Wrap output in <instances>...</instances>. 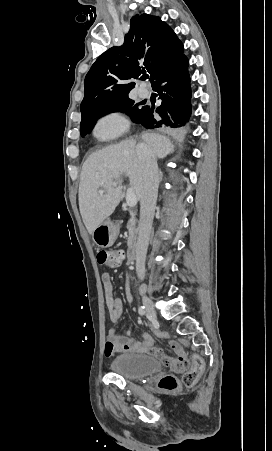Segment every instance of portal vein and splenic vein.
I'll return each instance as SVG.
<instances>
[{
	"label": "portal vein and splenic vein",
	"instance_id": "1",
	"mask_svg": "<svg viewBox=\"0 0 272 451\" xmlns=\"http://www.w3.org/2000/svg\"><path fill=\"white\" fill-rule=\"evenodd\" d=\"M114 186H116V182H114ZM99 194H104V190H99ZM126 204L129 208H134L137 204L136 196L132 188H128L126 192Z\"/></svg>",
	"mask_w": 272,
	"mask_h": 451
}]
</instances>
